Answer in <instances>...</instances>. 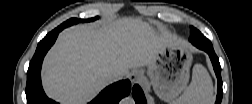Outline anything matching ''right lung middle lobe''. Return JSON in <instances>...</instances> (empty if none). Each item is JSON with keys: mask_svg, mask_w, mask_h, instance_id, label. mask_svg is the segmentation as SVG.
<instances>
[{"mask_svg": "<svg viewBox=\"0 0 252 104\" xmlns=\"http://www.w3.org/2000/svg\"><path fill=\"white\" fill-rule=\"evenodd\" d=\"M98 17H95V18H92V19H76V18H71L69 20H67L66 22H64L63 24H61L60 26L58 27H61V28H66L68 26H71L73 24H77L78 22H90V21H93V20H96Z\"/></svg>", "mask_w": 252, "mask_h": 104, "instance_id": "dd1d6c3e", "label": "right lung middle lobe"}]
</instances>
